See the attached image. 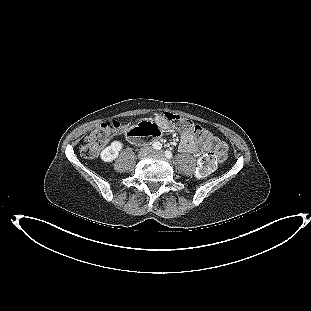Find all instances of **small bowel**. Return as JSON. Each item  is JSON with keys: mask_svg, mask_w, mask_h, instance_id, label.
Here are the masks:
<instances>
[{"mask_svg": "<svg viewBox=\"0 0 311 311\" xmlns=\"http://www.w3.org/2000/svg\"><path fill=\"white\" fill-rule=\"evenodd\" d=\"M154 120L160 130H168L170 128L169 122L164 116L157 115L154 117ZM179 150L184 153L198 154L199 150L191 133H183Z\"/></svg>", "mask_w": 311, "mask_h": 311, "instance_id": "small-bowel-1", "label": "small bowel"}]
</instances>
